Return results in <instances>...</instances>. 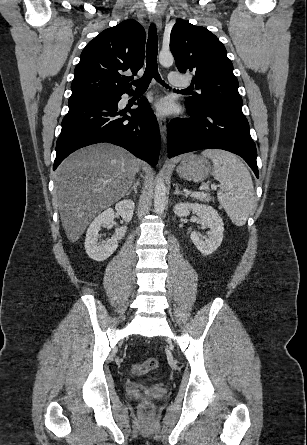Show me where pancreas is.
<instances>
[{
    "mask_svg": "<svg viewBox=\"0 0 307 445\" xmlns=\"http://www.w3.org/2000/svg\"><path fill=\"white\" fill-rule=\"evenodd\" d=\"M199 200H203V202H209V200H213L212 196H208V194H205V196H198Z\"/></svg>",
    "mask_w": 307,
    "mask_h": 445,
    "instance_id": "pancreas-1",
    "label": "pancreas"
}]
</instances>
